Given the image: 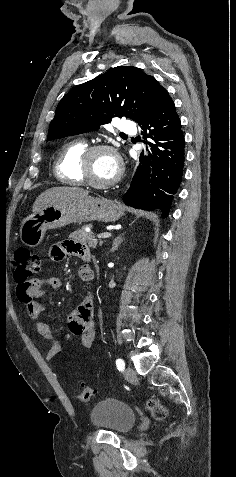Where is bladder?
<instances>
[{"instance_id": "bladder-1", "label": "bladder", "mask_w": 236, "mask_h": 477, "mask_svg": "<svg viewBox=\"0 0 236 477\" xmlns=\"http://www.w3.org/2000/svg\"><path fill=\"white\" fill-rule=\"evenodd\" d=\"M89 420L93 427L116 434H126L133 428L136 414L130 406L121 401L105 399L93 406Z\"/></svg>"}]
</instances>
